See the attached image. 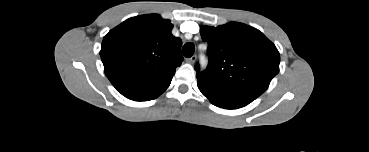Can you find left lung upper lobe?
I'll return each mask as SVG.
<instances>
[{
    "label": "left lung upper lobe",
    "mask_w": 369,
    "mask_h": 152,
    "mask_svg": "<svg viewBox=\"0 0 369 152\" xmlns=\"http://www.w3.org/2000/svg\"><path fill=\"white\" fill-rule=\"evenodd\" d=\"M209 63L204 72L195 66L197 82L217 90L256 99L279 72L280 55L259 30L237 22L202 26Z\"/></svg>",
    "instance_id": "5c2ea615"
}]
</instances>
